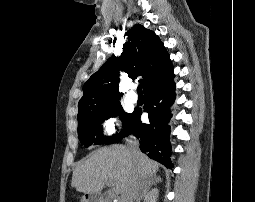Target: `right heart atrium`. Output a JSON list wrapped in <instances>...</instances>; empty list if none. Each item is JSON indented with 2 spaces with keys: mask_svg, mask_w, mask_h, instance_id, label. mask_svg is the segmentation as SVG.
Masks as SVG:
<instances>
[{
  "mask_svg": "<svg viewBox=\"0 0 255 202\" xmlns=\"http://www.w3.org/2000/svg\"><path fill=\"white\" fill-rule=\"evenodd\" d=\"M101 127L106 137L114 136L120 128L119 120L114 115H108L102 120Z\"/></svg>",
  "mask_w": 255,
  "mask_h": 202,
  "instance_id": "obj_1",
  "label": "right heart atrium"
}]
</instances>
